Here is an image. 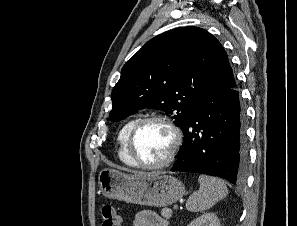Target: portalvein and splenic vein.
Returning a JSON list of instances; mask_svg holds the SVG:
<instances>
[{
	"label": "portal vein and splenic vein",
	"mask_w": 297,
	"mask_h": 226,
	"mask_svg": "<svg viewBox=\"0 0 297 226\" xmlns=\"http://www.w3.org/2000/svg\"><path fill=\"white\" fill-rule=\"evenodd\" d=\"M173 209H174V210H177V209H178V205L175 204V205L173 206Z\"/></svg>",
	"instance_id": "portal-vein-and-splenic-vein-1"
}]
</instances>
